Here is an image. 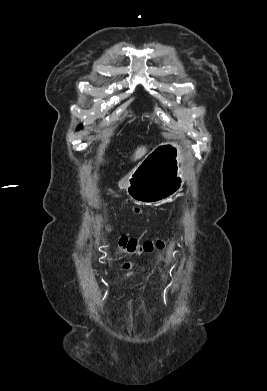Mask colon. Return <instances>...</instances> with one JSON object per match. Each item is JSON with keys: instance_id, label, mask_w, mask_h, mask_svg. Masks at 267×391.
<instances>
[{"instance_id": "1", "label": "colon", "mask_w": 267, "mask_h": 391, "mask_svg": "<svg viewBox=\"0 0 267 391\" xmlns=\"http://www.w3.org/2000/svg\"><path fill=\"white\" fill-rule=\"evenodd\" d=\"M119 250L122 254L127 256L151 254L155 250H159L164 247V242L157 241H145L139 242L137 239L122 235L118 239Z\"/></svg>"}]
</instances>
